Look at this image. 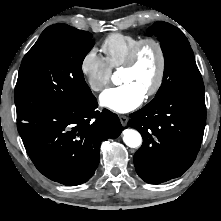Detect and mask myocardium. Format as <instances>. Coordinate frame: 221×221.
Instances as JSON below:
<instances>
[{
  "mask_svg": "<svg viewBox=\"0 0 221 221\" xmlns=\"http://www.w3.org/2000/svg\"><path fill=\"white\" fill-rule=\"evenodd\" d=\"M147 45H153L158 53L159 65L158 71L153 85L146 91L145 95L151 97L155 95L161 88L165 72H166V54L161 42L155 38L147 37L139 40L130 50L125 62L122 65L123 69L133 68L139 58L142 49Z\"/></svg>",
  "mask_w": 221,
  "mask_h": 221,
  "instance_id": "myocardium-1",
  "label": "myocardium"
}]
</instances>
